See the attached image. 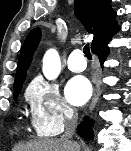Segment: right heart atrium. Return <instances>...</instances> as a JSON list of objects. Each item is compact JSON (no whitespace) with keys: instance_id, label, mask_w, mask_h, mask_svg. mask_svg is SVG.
Listing matches in <instances>:
<instances>
[{"instance_id":"right-heart-atrium-1","label":"right heart atrium","mask_w":131,"mask_h":151,"mask_svg":"<svg viewBox=\"0 0 131 151\" xmlns=\"http://www.w3.org/2000/svg\"><path fill=\"white\" fill-rule=\"evenodd\" d=\"M32 124L40 136H55L73 120L74 110L62 97L57 84L41 77L34 79L27 88Z\"/></svg>"}]
</instances>
